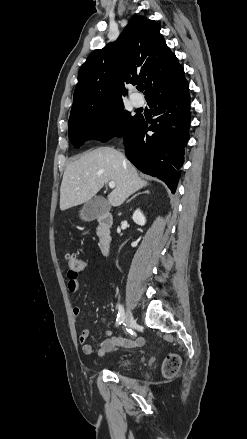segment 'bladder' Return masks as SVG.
Listing matches in <instances>:
<instances>
[{
	"instance_id": "obj_1",
	"label": "bladder",
	"mask_w": 247,
	"mask_h": 439,
	"mask_svg": "<svg viewBox=\"0 0 247 439\" xmlns=\"http://www.w3.org/2000/svg\"><path fill=\"white\" fill-rule=\"evenodd\" d=\"M132 359L126 356H121L115 361V366L125 368L132 364Z\"/></svg>"
}]
</instances>
